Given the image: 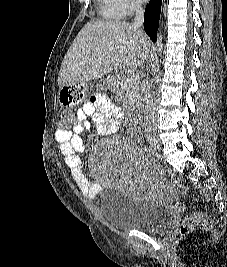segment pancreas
Wrapping results in <instances>:
<instances>
[{
	"mask_svg": "<svg viewBox=\"0 0 227 267\" xmlns=\"http://www.w3.org/2000/svg\"><path fill=\"white\" fill-rule=\"evenodd\" d=\"M129 75L116 74L109 80L110 87L123 99L125 108L135 109L140 104V92L138 83H130Z\"/></svg>",
	"mask_w": 227,
	"mask_h": 267,
	"instance_id": "1",
	"label": "pancreas"
}]
</instances>
